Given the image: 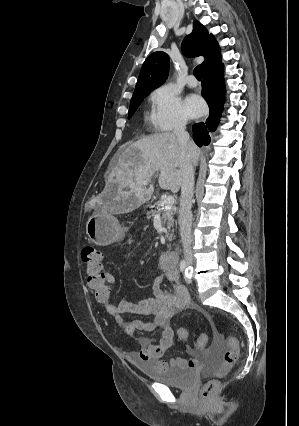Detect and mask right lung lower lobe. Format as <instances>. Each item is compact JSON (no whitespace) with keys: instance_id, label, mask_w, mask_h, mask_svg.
<instances>
[{"instance_id":"right-lung-lower-lobe-1","label":"right lung lower lobe","mask_w":299,"mask_h":426,"mask_svg":"<svg viewBox=\"0 0 299 426\" xmlns=\"http://www.w3.org/2000/svg\"><path fill=\"white\" fill-rule=\"evenodd\" d=\"M202 87V96L209 105L210 114L204 123H196L192 127L194 141L199 147L210 143L208 133L216 130L223 110L225 86L221 62L204 71Z\"/></svg>"}]
</instances>
